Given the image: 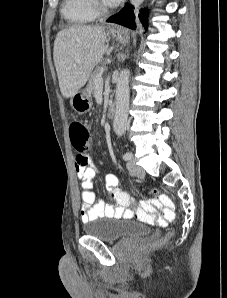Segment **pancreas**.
Here are the masks:
<instances>
[{
	"instance_id": "obj_1",
	"label": "pancreas",
	"mask_w": 227,
	"mask_h": 298,
	"mask_svg": "<svg viewBox=\"0 0 227 298\" xmlns=\"http://www.w3.org/2000/svg\"><path fill=\"white\" fill-rule=\"evenodd\" d=\"M104 71V67H97L95 69V71L92 73V75L90 76V79H89V89L91 90V92L95 93L96 89H97V84L95 82L96 80V77L99 75V74H102Z\"/></svg>"
}]
</instances>
